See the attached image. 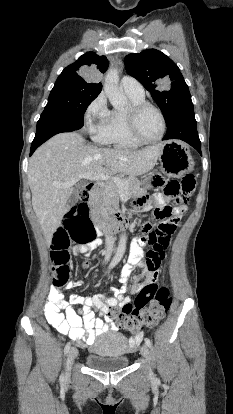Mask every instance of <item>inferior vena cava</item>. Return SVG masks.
<instances>
[{
	"instance_id": "inferior-vena-cava-1",
	"label": "inferior vena cava",
	"mask_w": 233,
	"mask_h": 414,
	"mask_svg": "<svg viewBox=\"0 0 233 414\" xmlns=\"http://www.w3.org/2000/svg\"><path fill=\"white\" fill-rule=\"evenodd\" d=\"M105 238H106L105 239L106 243L104 244L106 246L105 257L106 258H111L112 257V247H113L114 233H105ZM102 248L104 249L105 247L103 246Z\"/></svg>"
}]
</instances>
